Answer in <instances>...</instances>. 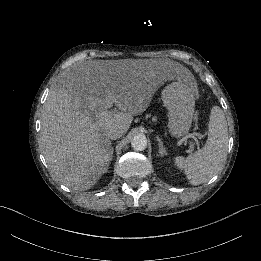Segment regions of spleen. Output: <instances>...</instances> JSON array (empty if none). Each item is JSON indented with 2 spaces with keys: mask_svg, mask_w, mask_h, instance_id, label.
Here are the masks:
<instances>
[{
  "mask_svg": "<svg viewBox=\"0 0 261 261\" xmlns=\"http://www.w3.org/2000/svg\"><path fill=\"white\" fill-rule=\"evenodd\" d=\"M208 138L204 148L187 158H173L175 167L183 171L192 186L209 181L223 168L228 150V126L223 111L218 106L211 109Z\"/></svg>",
  "mask_w": 261,
  "mask_h": 261,
  "instance_id": "spleen-1",
  "label": "spleen"
}]
</instances>
